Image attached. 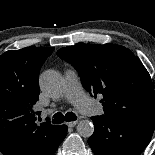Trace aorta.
Wrapping results in <instances>:
<instances>
[{
	"mask_svg": "<svg viewBox=\"0 0 155 155\" xmlns=\"http://www.w3.org/2000/svg\"><path fill=\"white\" fill-rule=\"evenodd\" d=\"M40 86L51 97L60 96L65 88L61 74L51 69L41 74ZM77 130L82 137H90L94 132V126L90 121L82 120L78 123Z\"/></svg>",
	"mask_w": 155,
	"mask_h": 155,
	"instance_id": "aorta-1",
	"label": "aorta"
}]
</instances>
